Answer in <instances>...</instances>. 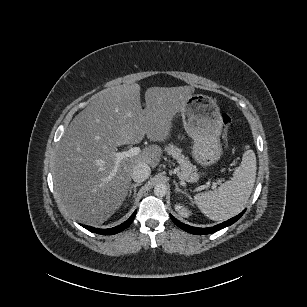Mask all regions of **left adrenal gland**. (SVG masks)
<instances>
[{"instance_id": "obj_1", "label": "left adrenal gland", "mask_w": 307, "mask_h": 307, "mask_svg": "<svg viewBox=\"0 0 307 307\" xmlns=\"http://www.w3.org/2000/svg\"><path fill=\"white\" fill-rule=\"evenodd\" d=\"M173 183L175 184V191H182L183 193L187 194L185 190H182L181 188H179V185L175 180H173Z\"/></svg>"}]
</instances>
